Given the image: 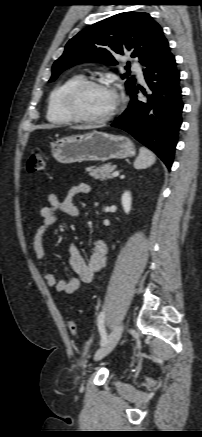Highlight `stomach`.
<instances>
[{"label": "stomach", "instance_id": "stomach-1", "mask_svg": "<svg viewBox=\"0 0 202 437\" xmlns=\"http://www.w3.org/2000/svg\"><path fill=\"white\" fill-rule=\"evenodd\" d=\"M51 154L60 163L105 162L134 156L135 147L125 136L93 131L57 140L51 145Z\"/></svg>", "mask_w": 202, "mask_h": 437}]
</instances>
